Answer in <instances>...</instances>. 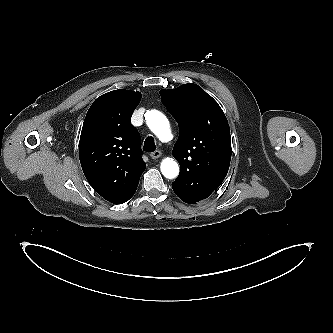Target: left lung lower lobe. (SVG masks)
<instances>
[{"instance_id":"obj_1","label":"left lung lower lobe","mask_w":333,"mask_h":333,"mask_svg":"<svg viewBox=\"0 0 333 333\" xmlns=\"http://www.w3.org/2000/svg\"><path fill=\"white\" fill-rule=\"evenodd\" d=\"M182 201L186 202V203H189V204H195L197 201L187 197V196H184V195H181V194H176Z\"/></svg>"}]
</instances>
